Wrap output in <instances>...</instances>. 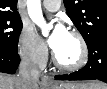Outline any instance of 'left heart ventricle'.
I'll use <instances>...</instances> for the list:
<instances>
[{"label":"left heart ventricle","instance_id":"b2bd125f","mask_svg":"<svg viewBox=\"0 0 107 89\" xmlns=\"http://www.w3.org/2000/svg\"><path fill=\"white\" fill-rule=\"evenodd\" d=\"M55 54L65 64L77 62L80 57V47L77 40L68 33L59 49L55 51Z\"/></svg>","mask_w":107,"mask_h":89}]
</instances>
